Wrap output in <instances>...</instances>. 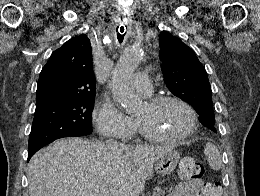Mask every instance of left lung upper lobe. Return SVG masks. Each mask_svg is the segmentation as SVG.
<instances>
[{"label":"left lung upper lobe","mask_w":260,"mask_h":196,"mask_svg":"<svg viewBox=\"0 0 260 196\" xmlns=\"http://www.w3.org/2000/svg\"><path fill=\"white\" fill-rule=\"evenodd\" d=\"M159 45L164 81L171 93L189 103L198 114L215 117L207 73L193 50L166 31L161 32ZM206 127L216 132L214 121Z\"/></svg>","instance_id":"5c2ea615"}]
</instances>
